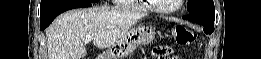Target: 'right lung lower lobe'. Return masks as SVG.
Wrapping results in <instances>:
<instances>
[{"label": "right lung lower lobe", "mask_w": 261, "mask_h": 59, "mask_svg": "<svg viewBox=\"0 0 261 59\" xmlns=\"http://www.w3.org/2000/svg\"><path fill=\"white\" fill-rule=\"evenodd\" d=\"M91 2L87 0H72L66 3L61 4L60 6L53 8L52 10L48 11L46 14L40 16L41 22V30L46 29L51 22L57 17L59 14L74 8H83V7H90Z\"/></svg>", "instance_id": "1"}]
</instances>
